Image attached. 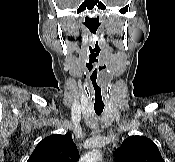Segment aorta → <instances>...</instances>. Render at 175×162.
Here are the masks:
<instances>
[{
	"instance_id": "1",
	"label": "aorta",
	"mask_w": 175,
	"mask_h": 162,
	"mask_svg": "<svg viewBox=\"0 0 175 162\" xmlns=\"http://www.w3.org/2000/svg\"><path fill=\"white\" fill-rule=\"evenodd\" d=\"M100 157H101V153L99 150L96 149L85 154L81 158L80 162H99Z\"/></svg>"
}]
</instances>
